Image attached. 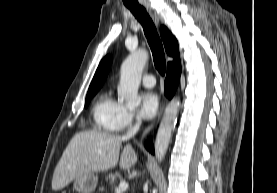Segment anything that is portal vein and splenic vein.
<instances>
[{
	"label": "portal vein and splenic vein",
	"mask_w": 277,
	"mask_h": 193,
	"mask_svg": "<svg viewBox=\"0 0 277 193\" xmlns=\"http://www.w3.org/2000/svg\"><path fill=\"white\" fill-rule=\"evenodd\" d=\"M129 187V184L125 181H121L119 183V186L115 189V193H122L124 191H126Z\"/></svg>",
	"instance_id": "portal-vein-and-splenic-vein-1"
}]
</instances>
